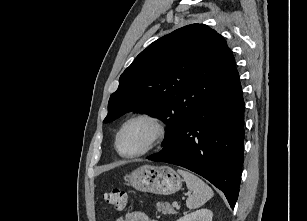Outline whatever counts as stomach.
Masks as SVG:
<instances>
[{
    "instance_id": "stomach-1",
    "label": "stomach",
    "mask_w": 307,
    "mask_h": 221,
    "mask_svg": "<svg viewBox=\"0 0 307 221\" xmlns=\"http://www.w3.org/2000/svg\"><path fill=\"white\" fill-rule=\"evenodd\" d=\"M182 178L169 166L143 165L128 175V183L142 192L169 195L179 191Z\"/></svg>"
}]
</instances>
